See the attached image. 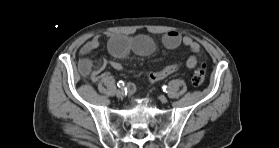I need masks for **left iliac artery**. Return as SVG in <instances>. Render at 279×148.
I'll list each match as a JSON object with an SVG mask.
<instances>
[{
  "label": "left iliac artery",
  "mask_w": 279,
  "mask_h": 148,
  "mask_svg": "<svg viewBox=\"0 0 279 148\" xmlns=\"http://www.w3.org/2000/svg\"><path fill=\"white\" fill-rule=\"evenodd\" d=\"M162 90H163L164 92H167V91H168V87H167L166 85H164V86H162Z\"/></svg>",
  "instance_id": "44dca946"
}]
</instances>
